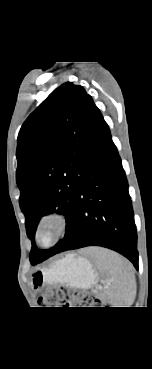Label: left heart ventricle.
<instances>
[{
    "label": "left heart ventricle",
    "instance_id": "left-heart-ventricle-1",
    "mask_svg": "<svg viewBox=\"0 0 152 369\" xmlns=\"http://www.w3.org/2000/svg\"><path fill=\"white\" fill-rule=\"evenodd\" d=\"M53 229L48 227L46 228L43 232H42V235H41V240L42 242L44 243H47L50 241V239L52 238L53 236Z\"/></svg>",
    "mask_w": 152,
    "mask_h": 369
}]
</instances>
